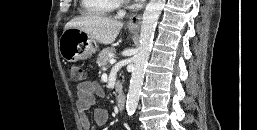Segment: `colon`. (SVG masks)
I'll return each mask as SVG.
<instances>
[{
    "mask_svg": "<svg viewBox=\"0 0 257 130\" xmlns=\"http://www.w3.org/2000/svg\"><path fill=\"white\" fill-rule=\"evenodd\" d=\"M69 74L74 82H81L85 79V71L79 66H71Z\"/></svg>",
    "mask_w": 257,
    "mask_h": 130,
    "instance_id": "5ec220e1",
    "label": "colon"
}]
</instances>
